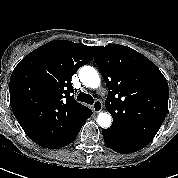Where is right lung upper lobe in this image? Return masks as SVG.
I'll return each mask as SVG.
<instances>
[{
    "mask_svg": "<svg viewBox=\"0 0 178 178\" xmlns=\"http://www.w3.org/2000/svg\"><path fill=\"white\" fill-rule=\"evenodd\" d=\"M93 59L90 46L55 40L25 56L9 83L13 113L35 143L50 147L75 135L92 111L74 100L71 78Z\"/></svg>",
    "mask_w": 178,
    "mask_h": 178,
    "instance_id": "1",
    "label": "right lung upper lobe"
}]
</instances>
